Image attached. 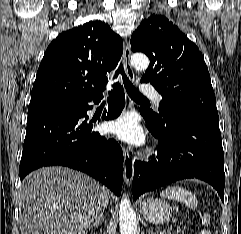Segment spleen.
<instances>
[{
  "label": "spleen",
  "mask_w": 241,
  "mask_h": 234,
  "mask_svg": "<svg viewBox=\"0 0 241 234\" xmlns=\"http://www.w3.org/2000/svg\"><path fill=\"white\" fill-rule=\"evenodd\" d=\"M160 196L166 199L179 201L184 203L187 207L195 208L197 206V199L195 195L189 190L180 186H171L163 190ZM202 225L206 226L210 224V217L206 213L202 217ZM200 234H211L209 230H202Z\"/></svg>",
  "instance_id": "spleen-1"
}]
</instances>
